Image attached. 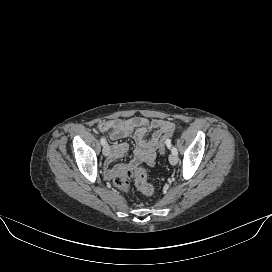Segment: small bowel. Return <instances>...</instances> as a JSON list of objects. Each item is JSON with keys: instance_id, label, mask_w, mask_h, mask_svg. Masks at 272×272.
<instances>
[{"instance_id": "obj_1", "label": "small bowel", "mask_w": 272, "mask_h": 272, "mask_svg": "<svg viewBox=\"0 0 272 272\" xmlns=\"http://www.w3.org/2000/svg\"><path fill=\"white\" fill-rule=\"evenodd\" d=\"M98 129L102 132H109L112 140L132 138L135 141L134 159L131 165H139L140 163L154 165L159 140L162 135L172 132L174 125L163 119L132 117L100 122ZM127 150L128 145L126 143L113 145L111 160L123 157ZM122 168V166L107 168L108 175Z\"/></svg>"}]
</instances>
